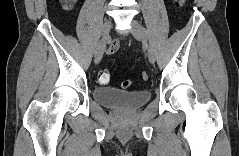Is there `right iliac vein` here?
Returning <instances> with one entry per match:
<instances>
[{
  "label": "right iliac vein",
  "mask_w": 239,
  "mask_h": 156,
  "mask_svg": "<svg viewBox=\"0 0 239 156\" xmlns=\"http://www.w3.org/2000/svg\"><path fill=\"white\" fill-rule=\"evenodd\" d=\"M110 28H111V22L110 20H106L102 29V46L99 49V51L95 54V60H94L95 64H98L103 57L104 47L109 38Z\"/></svg>",
  "instance_id": "63e3f726"
}]
</instances>
